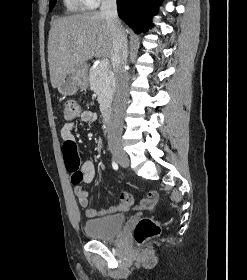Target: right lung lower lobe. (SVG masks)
Instances as JSON below:
<instances>
[{
  "instance_id": "right-lung-lower-lobe-1",
  "label": "right lung lower lobe",
  "mask_w": 247,
  "mask_h": 280,
  "mask_svg": "<svg viewBox=\"0 0 247 280\" xmlns=\"http://www.w3.org/2000/svg\"><path fill=\"white\" fill-rule=\"evenodd\" d=\"M162 0H117L118 15L139 34L152 26L151 17L156 14Z\"/></svg>"
}]
</instances>
